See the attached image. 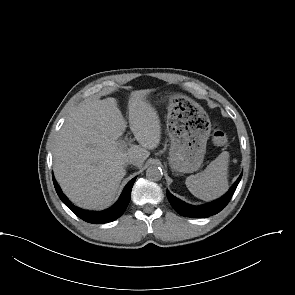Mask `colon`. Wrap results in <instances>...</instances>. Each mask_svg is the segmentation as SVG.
Masks as SVG:
<instances>
[{
	"instance_id": "colon-1",
	"label": "colon",
	"mask_w": 295,
	"mask_h": 295,
	"mask_svg": "<svg viewBox=\"0 0 295 295\" xmlns=\"http://www.w3.org/2000/svg\"><path fill=\"white\" fill-rule=\"evenodd\" d=\"M213 140L217 145H223L227 141V135L222 129L215 128L213 131Z\"/></svg>"
}]
</instances>
